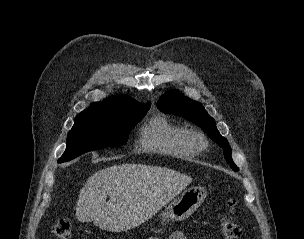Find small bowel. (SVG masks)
<instances>
[{
	"label": "small bowel",
	"mask_w": 304,
	"mask_h": 239,
	"mask_svg": "<svg viewBox=\"0 0 304 239\" xmlns=\"http://www.w3.org/2000/svg\"><path fill=\"white\" fill-rule=\"evenodd\" d=\"M168 239H187V237L184 233L177 231L172 233Z\"/></svg>",
	"instance_id": "small-bowel-1"
}]
</instances>
